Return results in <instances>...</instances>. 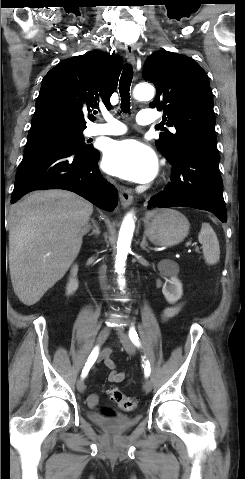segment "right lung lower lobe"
<instances>
[{
  "instance_id": "obj_1",
  "label": "right lung lower lobe",
  "mask_w": 245,
  "mask_h": 479,
  "mask_svg": "<svg viewBox=\"0 0 245 479\" xmlns=\"http://www.w3.org/2000/svg\"><path fill=\"white\" fill-rule=\"evenodd\" d=\"M100 153L71 143L55 142L24 153L15 176L11 203L34 190L65 189L112 211L118 203L115 187L98 170Z\"/></svg>"
}]
</instances>
